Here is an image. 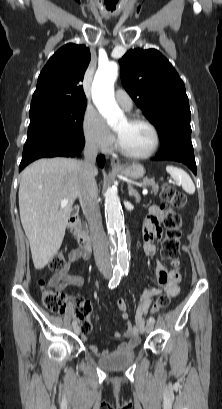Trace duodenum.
I'll return each mask as SVG.
<instances>
[{
  "label": "duodenum",
  "instance_id": "1",
  "mask_svg": "<svg viewBox=\"0 0 222 409\" xmlns=\"http://www.w3.org/2000/svg\"><path fill=\"white\" fill-rule=\"evenodd\" d=\"M67 227L70 235L76 240L80 249L89 255L92 250L91 239L88 234L84 233L79 220V207L73 206L70 209L67 221Z\"/></svg>",
  "mask_w": 222,
  "mask_h": 409
}]
</instances>
